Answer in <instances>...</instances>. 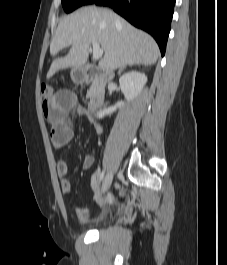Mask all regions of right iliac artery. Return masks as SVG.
I'll list each match as a JSON object with an SVG mask.
<instances>
[{
	"label": "right iliac artery",
	"mask_w": 227,
	"mask_h": 265,
	"mask_svg": "<svg viewBox=\"0 0 227 265\" xmlns=\"http://www.w3.org/2000/svg\"><path fill=\"white\" fill-rule=\"evenodd\" d=\"M100 181H102L104 179V171L100 174Z\"/></svg>",
	"instance_id": "1"
}]
</instances>
